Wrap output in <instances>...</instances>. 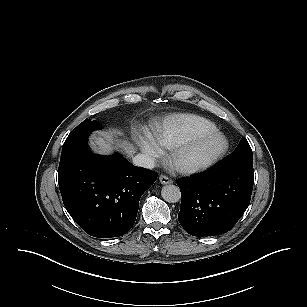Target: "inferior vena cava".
<instances>
[{
	"label": "inferior vena cava",
	"instance_id": "1",
	"mask_svg": "<svg viewBox=\"0 0 307 307\" xmlns=\"http://www.w3.org/2000/svg\"><path fill=\"white\" fill-rule=\"evenodd\" d=\"M133 164L139 167L152 169L155 167V161L152 157L145 154H137L133 158Z\"/></svg>",
	"mask_w": 307,
	"mask_h": 307
}]
</instances>
